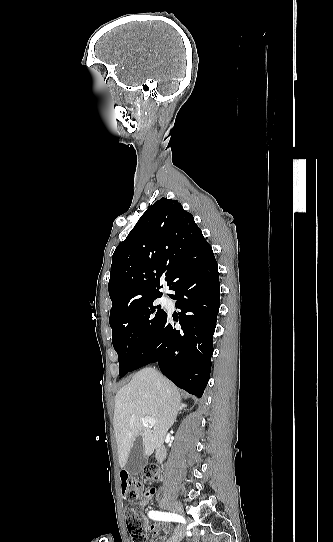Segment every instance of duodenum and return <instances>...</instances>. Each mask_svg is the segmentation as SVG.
<instances>
[{
    "label": "duodenum",
    "mask_w": 333,
    "mask_h": 542,
    "mask_svg": "<svg viewBox=\"0 0 333 542\" xmlns=\"http://www.w3.org/2000/svg\"><path fill=\"white\" fill-rule=\"evenodd\" d=\"M166 450L163 446H158L155 451V459L157 462H162L165 459Z\"/></svg>",
    "instance_id": "1"
}]
</instances>
